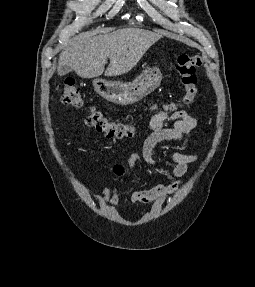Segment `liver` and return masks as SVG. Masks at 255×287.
<instances>
[{
  "mask_svg": "<svg viewBox=\"0 0 255 287\" xmlns=\"http://www.w3.org/2000/svg\"><path fill=\"white\" fill-rule=\"evenodd\" d=\"M160 38L159 34L140 28H123L103 36L80 34L61 52L59 68L69 66L80 78L121 76L130 72ZM107 58L110 64L104 72Z\"/></svg>",
  "mask_w": 255,
  "mask_h": 287,
  "instance_id": "1",
  "label": "liver"
}]
</instances>
